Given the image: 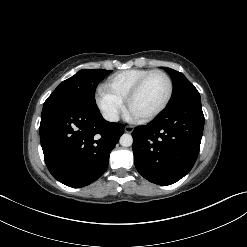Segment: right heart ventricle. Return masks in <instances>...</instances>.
I'll list each match as a JSON object with an SVG mask.
<instances>
[{
	"instance_id": "1",
	"label": "right heart ventricle",
	"mask_w": 247,
	"mask_h": 247,
	"mask_svg": "<svg viewBox=\"0 0 247 247\" xmlns=\"http://www.w3.org/2000/svg\"><path fill=\"white\" fill-rule=\"evenodd\" d=\"M151 70L130 69L116 73L108 78L105 88L121 101H125L135 84Z\"/></svg>"
}]
</instances>
